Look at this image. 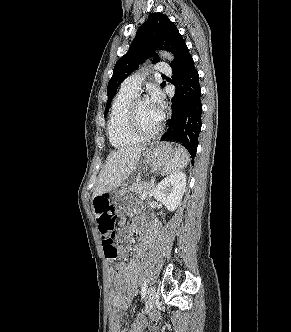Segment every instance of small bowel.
Returning a JSON list of instances; mask_svg holds the SVG:
<instances>
[{"instance_id":"small-bowel-1","label":"small bowel","mask_w":291,"mask_h":332,"mask_svg":"<svg viewBox=\"0 0 291 332\" xmlns=\"http://www.w3.org/2000/svg\"><path fill=\"white\" fill-rule=\"evenodd\" d=\"M120 222L125 224V219L122 218ZM156 233L157 226L154 223L148 226L146 232H143V226L139 223L125 226L120 230L119 257H127L129 244L133 243L134 234L140 235V241L133 249L130 262L128 264L120 263L115 268V288L111 293V304L114 309H127L129 307L130 301L136 293L140 259L144 256Z\"/></svg>"}]
</instances>
